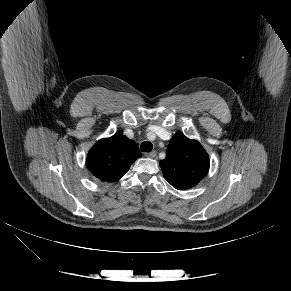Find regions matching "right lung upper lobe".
<instances>
[{
	"instance_id": "obj_1",
	"label": "right lung upper lobe",
	"mask_w": 291,
	"mask_h": 291,
	"mask_svg": "<svg viewBox=\"0 0 291 291\" xmlns=\"http://www.w3.org/2000/svg\"><path fill=\"white\" fill-rule=\"evenodd\" d=\"M139 157L137 144L118 131L110 138L99 140L90 149L86 164L99 180L116 182Z\"/></svg>"
}]
</instances>
